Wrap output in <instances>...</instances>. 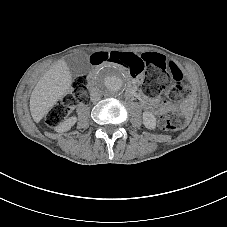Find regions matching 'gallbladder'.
I'll return each mask as SVG.
<instances>
[{
	"instance_id": "bac80fb5",
	"label": "gallbladder",
	"mask_w": 227,
	"mask_h": 227,
	"mask_svg": "<svg viewBox=\"0 0 227 227\" xmlns=\"http://www.w3.org/2000/svg\"><path fill=\"white\" fill-rule=\"evenodd\" d=\"M67 64L73 77L86 75L92 68L89 56L85 52L71 54L67 57Z\"/></svg>"
}]
</instances>
